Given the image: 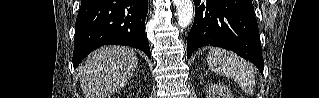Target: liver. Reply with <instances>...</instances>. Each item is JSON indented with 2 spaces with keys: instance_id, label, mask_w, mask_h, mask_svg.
I'll return each instance as SVG.
<instances>
[{
  "instance_id": "obj_1",
  "label": "liver",
  "mask_w": 319,
  "mask_h": 98,
  "mask_svg": "<svg viewBox=\"0 0 319 98\" xmlns=\"http://www.w3.org/2000/svg\"><path fill=\"white\" fill-rule=\"evenodd\" d=\"M138 64L133 49L106 46L92 52L79 67L85 98H110L133 76Z\"/></svg>"
}]
</instances>
